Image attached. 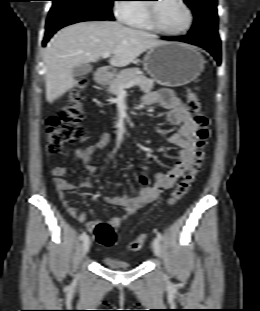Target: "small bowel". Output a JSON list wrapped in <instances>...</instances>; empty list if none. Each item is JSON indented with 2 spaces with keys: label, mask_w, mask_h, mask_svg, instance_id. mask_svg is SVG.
I'll use <instances>...</instances> for the list:
<instances>
[{
  "label": "small bowel",
  "mask_w": 260,
  "mask_h": 311,
  "mask_svg": "<svg viewBox=\"0 0 260 311\" xmlns=\"http://www.w3.org/2000/svg\"><path fill=\"white\" fill-rule=\"evenodd\" d=\"M145 105H160L167 110L166 120L171 125L179 126L176 133L168 139L169 143L180 148L178 161L167 173H157L153 184H149L148 177L145 174L139 176V182L142 187L135 197L126 195L106 197L107 203L121 206L124 208L122 216H116L110 219L114 227H119L121 223L133 215L143 205L156 201L161 193L170 189L176 181L190 168L197 142V125L193 115L188 111L170 89H162L148 93L144 98ZM111 136L108 132L100 134L98 139L84 149H77L76 156L83 163L88 172L86 183L91 182L96 173V164L92 161V156L102 150L109 142ZM66 166H56L52 169L51 175L58 197L68 214L83 223L88 231L92 232L98 223L97 221H86V214L76 206L71 205L67 199L66 192L75 189L68 183L64 176L67 173Z\"/></svg>",
  "instance_id": "small-bowel-1"
}]
</instances>
